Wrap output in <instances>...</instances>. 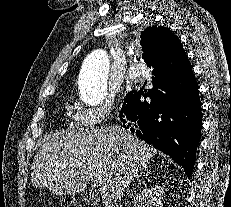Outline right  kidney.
Returning a JSON list of instances; mask_svg holds the SVG:
<instances>
[{"label":"right kidney","mask_w":231,"mask_h":207,"mask_svg":"<svg viewBox=\"0 0 231 207\" xmlns=\"http://www.w3.org/2000/svg\"><path fill=\"white\" fill-rule=\"evenodd\" d=\"M162 193L154 187H145L134 198V207H162Z\"/></svg>","instance_id":"ca27d5eb"}]
</instances>
